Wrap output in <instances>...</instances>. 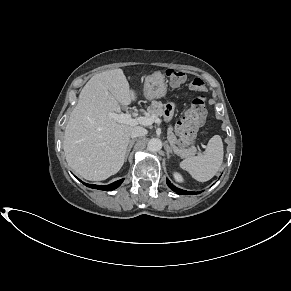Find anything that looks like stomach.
Wrapping results in <instances>:
<instances>
[{
  "mask_svg": "<svg viewBox=\"0 0 291 291\" xmlns=\"http://www.w3.org/2000/svg\"><path fill=\"white\" fill-rule=\"evenodd\" d=\"M143 94L149 100L164 97L167 94L164 75L160 72H155L147 76L144 82Z\"/></svg>",
  "mask_w": 291,
  "mask_h": 291,
  "instance_id": "1",
  "label": "stomach"
}]
</instances>
